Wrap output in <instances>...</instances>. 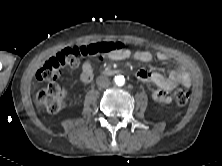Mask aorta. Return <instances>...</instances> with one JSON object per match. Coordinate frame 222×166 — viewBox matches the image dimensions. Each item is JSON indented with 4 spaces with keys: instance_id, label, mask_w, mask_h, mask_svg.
Wrapping results in <instances>:
<instances>
[{
    "instance_id": "aorta-1",
    "label": "aorta",
    "mask_w": 222,
    "mask_h": 166,
    "mask_svg": "<svg viewBox=\"0 0 222 166\" xmlns=\"http://www.w3.org/2000/svg\"><path fill=\"white\" fill-rule=\"evenodd\" d=\"M114 81H115L116 85L122 86L125 83V78L122 75H118L114 78Z\"/></svg>"
}]
</instances>
